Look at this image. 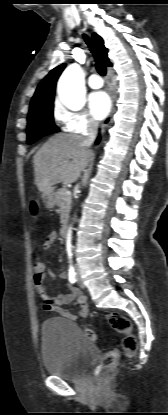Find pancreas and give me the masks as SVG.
<instances>
[{
	"mask_svg": "<svg viewBox=\"0 0 168 415\" xmlns=\"http://www.w3.org/2000/svg\"><path fill=\"white\" fill-rule=\"evenodd\" d=\"M66 189H60L54 192V201L55 204L60 208V222L62 224L66 223L68 220L72 197L71 194H65Z\"/></svg>",
	"mask_w": 168,
	"mask_h": 415,
	"instance_id": "pancreas-1",
	"label": "pancreas"
}]
</instances>
